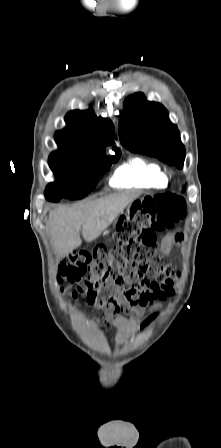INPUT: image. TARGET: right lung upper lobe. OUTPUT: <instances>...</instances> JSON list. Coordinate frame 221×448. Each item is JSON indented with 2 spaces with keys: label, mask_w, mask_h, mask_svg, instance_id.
Masks as SVG:
<instances>
[{
  "label": "right lung upper lobe",
  "mask_w": 221,
  "mask_h": 448,
  "mask_svg": "<svg viewBox=\"0 0 221 448\" xmlns=\"http://www.w3.org/2000/svg\"><path fill=\"white\" fill-rule=\"evenodd\" d=\"M66 128L55 133L59 152L77 157L98 158L104 153V147L113 145L114 126L110 119L97 118L94 112L75 110L65 116ZM107 126V128H106ZM120 152L119 149H114Z\"/></svg>",
  "instance_id": "right-lung-upper-lobe-1"
}]
</instances>
